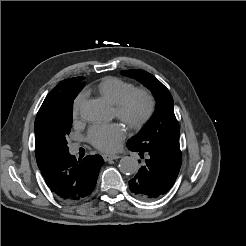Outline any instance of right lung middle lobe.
<instances>
[{"mask_svg":"<svg viewBox=\"0 0 246 246\" xmlns=\"http://www.w3.org/2000/svg\"><path fill=\"white\" fill-rule=\"evenodd\" d=\"M82 88L65 93L56 103L52 115V138L61 150L62 155L69 153L67 136L71 131L73 100Z\"/></svg>","mask_w":246,"mask_h":246,"instance_id":"obj_1","label":"right lung middle lobe"}]
</instances>
